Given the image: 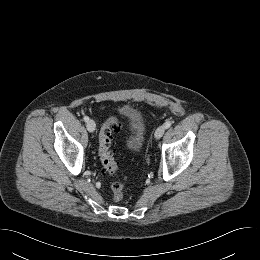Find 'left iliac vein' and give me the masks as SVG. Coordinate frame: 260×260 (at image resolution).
Returning a JSON list of instances; mask_svg holds the SVG:
<instances>
[{"mask_svg":"<svg viewBox=\"0 0 260 260\" xmlns=\"http://www.w3.org/2000/svg\"><path fill=\"white\" fill-rule=\"evenodd\" d=\"M165 126H159L155 131V138L160 139L165 133Z\"/></svg>","mask_w":260,"mask_h":260,"instance_id":"4c4485c4","label":"left iliac vein"}]
</instances>
